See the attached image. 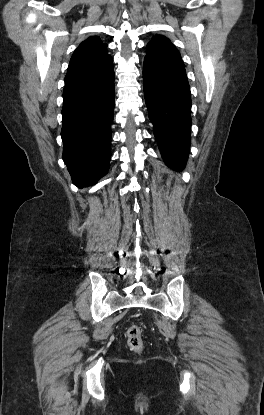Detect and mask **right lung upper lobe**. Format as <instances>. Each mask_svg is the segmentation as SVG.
Returning <instances> with one entry per match:
<instances>
[{
  "instance_id": "1",
  "label": "right lung upper lobe",
  "mask_w": 264,
  "mask_h": 415,
  "mask_svg": "<svg viewBox=\"0 0 264 415\" xmlns=\"http://www.w3.org/2000/svg\"><path fill=\"white\" fill-rule=\"evenodd\" d=\"M113 71V60L107 53V44L98 36L81 42L73 53L65 85L97 79Z\"/></svg>"
}]
</instances>
